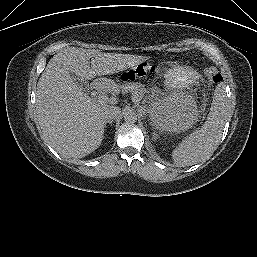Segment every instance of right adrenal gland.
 <instances>
[{"label": "right adrenal gland", "mask_w": 257, "mask_h": 257, "mask_svg": "<svg viewBox=\"0 0 257 257\" xmlns=\"http://www.w3.org/2000/svg\"><path fill=\"white\" fill-rule=\"evenodd\" d=\"M110 124V125H112V123H113V120H111V121H106V123H105V126H106V124Z\"/></svg>", "instance_id": "1"}]
</instances>
